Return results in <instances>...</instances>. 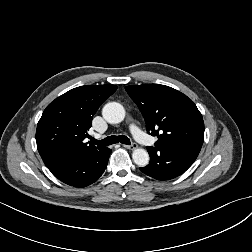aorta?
I'll list each match as a JSON object with an SVG mask.
<instances>
[{
  "mask_svg": "<svg viewBox=\"0 0 252 252\" xmlns=\"http://www.w3.org/2000/svg\"><path fill=\"white\" fill-rule=\"evenodd\" d=\"M104 119L112 124L120 123L125 118L124 107L117 102H109L102 109ZM134 163L144 167L149 163V154L145 149L137 148L132 153Z\"/></svg>",
  "mask_w": 252,
  "mask_h": 252,
  "instance_id": "1",
  "label": "aorta"
}]
</instances>
